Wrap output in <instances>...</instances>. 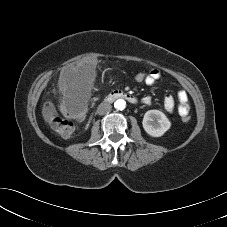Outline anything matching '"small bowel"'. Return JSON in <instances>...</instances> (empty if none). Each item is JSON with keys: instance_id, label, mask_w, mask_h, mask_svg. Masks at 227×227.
Instances as JSON below:
<instances>
[{"instance_id": "obj_1", "label": "small bowel", "mask_w": 227, "mask_h": 227, "mask_svg": "<svg viewBox=\"0 0 227 227\" xmlns=\"http://www.w3.org/2000/svg\"><path fill=\"white\" fill-rule=\"evenodd\" d=\"M161 77V72L158 69H152L148 72V77L145 82L146 85L152 86L154 85ZM177 101H178V113H189L190 105L188 102V95L185 91L180 90L177 93ZM142 102L146 105H149L151 102L150 96H144L142 98ZM164 108L167 112H173L175 108V99L171 95H166L164 98Z\"/></svg>"}]
</instances>
